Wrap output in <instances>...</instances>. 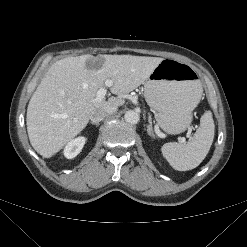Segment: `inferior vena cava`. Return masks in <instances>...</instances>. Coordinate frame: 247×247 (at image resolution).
Returning <instances> with one entry per match:
<instances>
[{"mask_svg": "<svg viewBox=\"0 0 247 247\" xmlns=\"http://www.w3.org/2000/svg\"><path fill=\"white\" fill-rule=\"evenodd\" d=\"M117 111L116 106L107 107L103 110L93 111L90 115V120L94 123L102 121L106 116L114 114Z\"/></svg>", "mask_w": 247, "mask_h": 247, "instance_id": "1", "label": "inferior vena cava"}]
</instances>
